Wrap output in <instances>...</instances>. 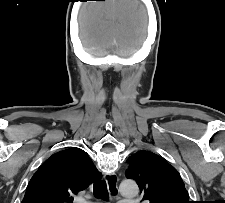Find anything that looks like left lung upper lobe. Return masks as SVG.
I'll list each match as a JSON object with an SVG mask.
<instances>
[{
  "label": "left lung upper lobe",
  "instance_id": "5c2ea615",
  "mask_svg": "<svg viewBox=\"0 0 225 203\" xmlns=\"http://www.w3.org/2000/svg\"><path fill=\"white\" fill-rule=\"evenodd\" d=\"M126 177L134 179L150 203H191L177 170L159 155L139 151L128 160Z\"/></svg>",
  "mask_w": 225,
  "mask_h": 203
}]
</instances>
